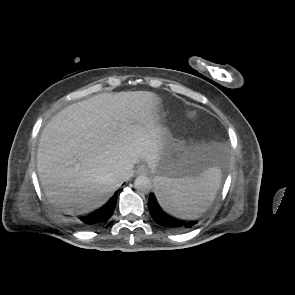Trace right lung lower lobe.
<instances>
[{
  "label": "right lung lower lobe",
  "mask_w": 295,
  "mask_h": 295,
  "mask_svg": "<svg viewBox=\"0 0 295 295\" xmlns=\"http://www.w3.org/2000/svg\"><path fill=\"white\" fill-rule=\"evenodd\" d=\"M116 201H117V193L114 194V196L99 210L80 217V220L82 224L85 227H95L97 225L102 224L106 220H108L116 206Z\"/></svg>",
  "instance_id": "98d812e1"
}]
</instances>
